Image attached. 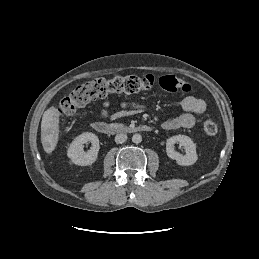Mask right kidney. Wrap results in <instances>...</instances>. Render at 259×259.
I'll return each instance as SVG.
<instances>
[{"instance_id": "obj_1", "label": "right kidney", "mask_w": 259, "mask_h": 259, "mask_svg": "<svg viewBox=\"0 0 259 259\" xmlns=\"http://www.w3.org/2000/svg\"><path fill=\"white\" fill-rule=\"evenodd\" d=\"M88 141L91 142L92 147L85 152L83 144ZM99 149V138L91 132H85L77 136L70 144L67 156L71 159V162L76 165L89 166L97 160Z\"/></svg>"}]
</instances>
